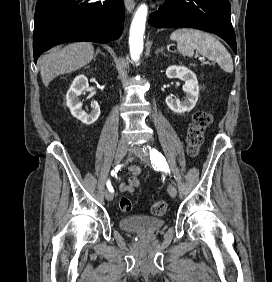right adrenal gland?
Returning <instances> with one entry per match:
<instances>
[{"instance_id":"right-adrenal-gland-1","label":"right adrenal gland","mask_w":272,"mask_h":282,"mask_svg":"<svg viewBox=\"0 0 272 282\" xmlns=\"http://www.w3.org/2000/svg\"><path fill=\"white\" fill-rule=\"evenodd\" d=\"M98 53H101L102 55L105 56V53H103L100 49H97V50H96V53H95L94 59L96 58V56L98 55Z\"/></svg>"}]
</instances>
